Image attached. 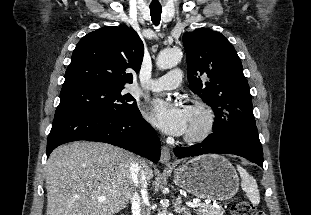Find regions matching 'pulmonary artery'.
Wrapping results in <instances>:
<instances>
[{
  "label": "pulmonary artery",
  "instance_id": "obj_1",
  "mask_svg": "<svg viewBox=\"0 0 311 215\" xmlns=\"http://www.w3.org/2000/svg\"><path fill=\"white\" fill-rule=\"evenodd\" d=\"M182 82V72L180 69H173L166 75L153 79L148 89L152 91L172 90L177 88Z\"/></svg>",
  "mask_w": 311,
  "mask_h": 215
}]
</instances>
